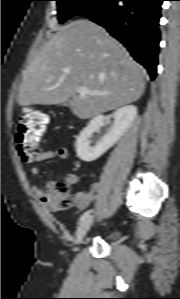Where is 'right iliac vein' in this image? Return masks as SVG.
<instances>
[{"label":"right iliac vein","instance_id":"63e3f726","mask_svg":"<svg viewBox=\"0 0 180 299\" xmlns=\"http://www.w3.org/2000/svg\"><path fill=\"white\" fill-rule=\"evenodd\" d=\"M92 221L93 218L89 216L79 224L75 233V239H74L75 244H80L83 241L84 237L86 236V233L91 227Z\"/></svg>","mask_w":180,"mask_h":299}]
</instances>
